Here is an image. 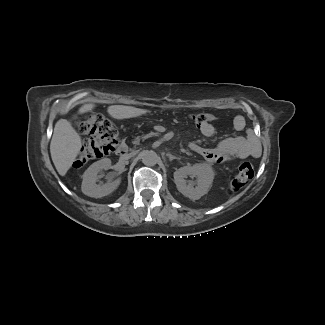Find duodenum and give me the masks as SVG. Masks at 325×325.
Listing matches in <instances>:
<instances>
[{"mask_svg": "<svg viewBox=\"0 0 325 325\" xmlns=\"http://www.w3.org/2000/svg\"><path fill=\"white\" fill-rule=\"evenodd\" d=\"M128 147L126 144L122 143L119 145L117 149V153L119 156H125L127 154Z\"/></svg>", "mask_w": 325, "mask_h": 325, "instance_id": "duodenum-1", "label": "duodenum"}]
</instances>
